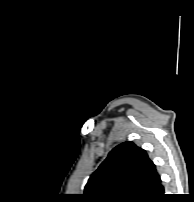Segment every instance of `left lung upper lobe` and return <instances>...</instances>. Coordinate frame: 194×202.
<instances>
[{
	"label": "left lung upper lobe",
	"mask_w": 194,
	"mask_h": 202,
	"mask_svg": "<svg viewBox=\"0 0 194 202\" xmlns=\"http://www.w3.org/2000/svg\"><path fill=\"white\" fill-rule=\"evenodd\" d=\"M161 179L147 153L127 141L115 147L85 186L87 202H152Z\"/></svg>",
	"instance_id": "left-lung-upper-lobe-1"
}]
</instances>
